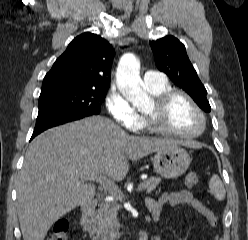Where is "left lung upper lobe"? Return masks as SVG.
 Instances as JSON below:
<instances>
[{
  "label": "left lung upper lobe",
  "instance_id": "5c2ea615",
  "mask_svg": "<svg viewBox=\"0 0 248 240\" xmlns=\"http://www.w3.org/2000/svg\"><path fill=\"white\" fill-rule=\"evenodd\" d=\"M150 46L157 68L185 90L200 108L210 112L207 91L187 56L185 46L171 35L151 41Z\"/></svg>",
  "mask_w": 248,
  "mask_h": 240
}]
</instances>
